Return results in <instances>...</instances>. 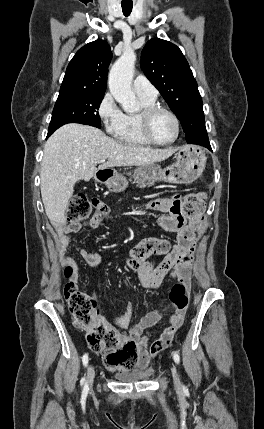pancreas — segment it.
<instances>
[{
	"mask_svg": "<svg viewBox=\"0 0 264 429\" xmlns=\"http://www.w3.org/2000/svg\"><path fill=\"white\" fill-rule=\"evenodd\" d=\"M129 175L131 174L129 173ZM133 179H134V182H136L140 188H145L146 186L150 187L155 184L154 180L142 179L135 175L133 176Z\"/></svg>",
	"mask_w": 264,
	"mask_h": 429,
	"instance_id": "pancreas-1",
	"label": "pancreas"
}]
</instances>
